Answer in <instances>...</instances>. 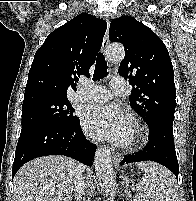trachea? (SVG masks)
<instances>
[{
	"label": "trachea",
	"mask_w": 196,
	"mask_h": 201,
	"mask_svg": "<svg viewBox=\"0 0 196 201\" xmlns=\"http://www.w3.org/2000/svg\"><path fill=\"white\" fill-rule=\"evenodd\" d=\"M107 62L102 53H99L96 58V66L94 71V80H100L105 78L108 75L107 72Z\"/></svg>",
	"instance_id": "3493384b"
}]
</instances>
